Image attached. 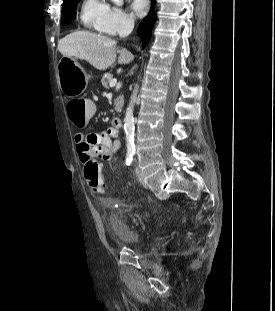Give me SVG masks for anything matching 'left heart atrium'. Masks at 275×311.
Listing matches in <instances>:
<instances>
[{
  "instance_id": "39dd6f15",
  "label": "left heart atrium",
  "mask_w": 275,
  "mask_h": 311,
  "mask_svg": "<svg viewBox=\"0 0 275 311\" xmlns=\"http://www.w3.org/2000/svg\"><path fill=\"white\" fill-rule=\"evenodd\" d=\"M148 6H149L148 0L131 1V9L133 13L138 17H142L143 15H145V13L148 10Z\"/></svg>"
}]
</instances>
